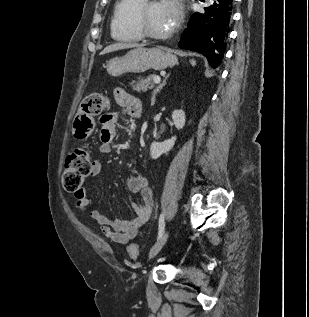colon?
Masks as SVG:
<instances>
[{"mask_svg": "<svg viewBox=\"0 0 309 317\" xmlns=\"http://www.w3.org/2000/svg\"><path fill=\"white\" fill-rule=\"evenodd\" d=\"M108 98L102 93H92L81 102L74 120V132L78 138L88 136L94 128V118L107 109ZM92 159L89 153L81 148L73 150L66 158L62 184L66 191L76 193L82 189L86 177L91 174ZM130 255L138 257L137 246H129Z\"/></svg>", "mask_w": 309, "mask_h": 317, "instance_id": "1", "label": "colon"}]
</instances>
